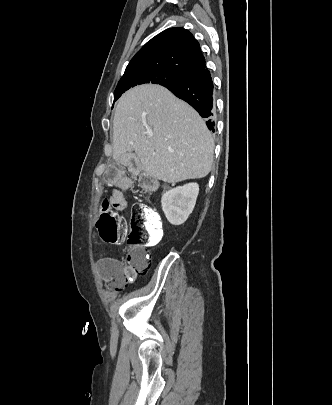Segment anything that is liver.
I'll list each match as a JSON object with an SVG mask.
<instances>
[{"label":"liver","mask_w":332,"mask_h":405,"mask_svg":"<svg viewBox=\"0 0 332 405\" xmlns=\"http://www.w3.org/2000/svg\"><path fill=\"white\" fill-rule=\"evenodd\" d=\"M136 152L149 176L168 183L208 175L214 141L204 120L165 87L141 85L119 99L113 120V159Z\"/></svg>","instance_id":"6515ba94"}]
</instances>
